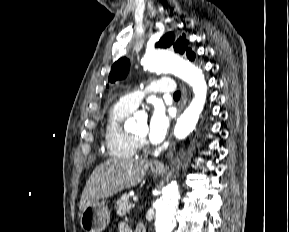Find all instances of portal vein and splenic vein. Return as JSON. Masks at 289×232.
I'll use <instances>...</instances> for the list:
<instances>
[{
	"mask_svg": "<svg viewBox=\"0 0 289 232\" xmlns=\"http://www.w3.org/2000/svg\"><path fill=\"white\" fill-rule=\"evenodd\" d=\"M133 201H134V202H137V201H138V197H136V196L133 197Z\"/></svg>",
	"mask_w": 289,
	"mask_h": 232,
	"instance_id": "18ae733b",
	"label": "portal vein and splenic vein"
}]
</instances>
